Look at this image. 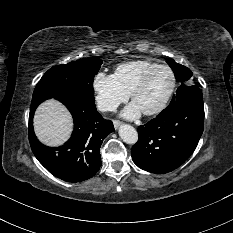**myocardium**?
Returning a JSON list of instances; mask_svg holds the SVG:
<instances>
[{
  "label": "myocardium",
  "mask_w": 233,
  "mask_h": 233,
  "mask_svg": "<svg viewBox=\"0 0 233 233\" xmlns=\"http://www.w3.org/2000/svg\"><path fill=\"white\" fill-rule=\"evenodd\" d=\"M160 69H166L170 72L171 77H172V84H171V88L169 90V92L167 93L166 97L163 99V101L154 109L150 110V111H146V112H142L145 116H155L160 114L169 104L175 90H176V86H177V79H176V75L173 71V69L168 66V65H157L156 67L152 68L151 70H149L147 73H145L143 75V77L138 81V83L134 86V88L132 89L131 93H130V97L131 100L133 101L135 96L144 89V87L146 86L147 82L149 81V79L151 78V76L158 70Z\"/></svg>",
  "instance_id": "obj_1"
}]
</instances>
